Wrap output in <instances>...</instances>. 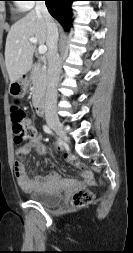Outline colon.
<instances>
[{
  "label": "colon",
  "instance_id": "5ec220e1",
  "mask_svg": "<svg viewBox=\"0 0 133 253\" xmlns=\"http://www.w3.org/2000/svg\"><path fill=\"white\" fill-rule=\"evenodd\" d=\"M11 120L13 124L14 140L16 143H21L30 140L35 129L27 117L26 112L17 104L11 107ZM67 160L73 164L77 163L74 156L67 155ZM93 200V194L89 190H81L71 198V205L74 207H82L89 204Z\"/></svg>",
  "mask_w": 133,
  "mask_h": 253
}]
</instances>
